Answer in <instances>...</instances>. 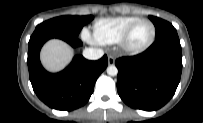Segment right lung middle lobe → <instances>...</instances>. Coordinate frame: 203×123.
Segmentation results:
<instances>
[{
	"label": "right lung middle lobe",
	"instance_id": "obj_1",
	"mask_svg": "<svg viewBox=\"0 0 203 123\" xmlns=\"http://www.w3.org/2000/svg\"><path fill=\"white\" fill-rule=\"evenodd\" d=\"M93 16H60L47 20L36 26L35 31L46 32L56 36L77 37L82 27L90 22Z\"/></svg>",
	"mask_w": 203,
	"mask_h": 123
}]
</instances>
